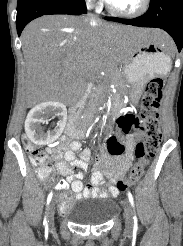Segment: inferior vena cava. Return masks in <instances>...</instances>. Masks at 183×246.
I'll use <instances>...</instances> for the list:
<instances>
[{"mask_svg":"<svg viewBox=\"0 0 183 246\" xmlns=\"http://www.w3.org/2000/svg\"><path fill=\"white\" fill-rule=\"evenodd\" d=\"M88 16H89V18H90L91 20H95V19H96V16L93 15L92 13H89Z\"/></svg>","mask_w":183,"mask_h":246,"instance_id":"inferior-vena-cava-1","label":"inferior vena cava"}]
</instances>
